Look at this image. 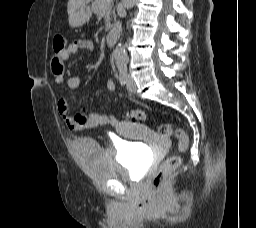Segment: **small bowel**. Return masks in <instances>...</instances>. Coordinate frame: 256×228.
<instances>
[{"label":"small bowel","mask_w":256,"mask_h":228,"mask_svg":"<svg viewBox=\"0 0 256 228\" xmlns=\"http://www.w3.org/2000/svg\"><path fill=\"white\" fill-rule=\"evenodd\" d=\"M93 43L87 39H78L67 45V47L59 52L54 53L51 58V69L53 80L55 83H63L66 79L64 62L73 54L79 51H92ZM67 86L71 91H75L80 86V78L72 76L66 80ZM115 83L108 81L106 84V91L113 92ZM57 108L60 116L63 118L68 128L72 131H80L83 129H90L99 126L117 125V120L112 116H107L102 111L95 109L90 111L88 108H83L79 113L74 114L66 98H60L57 102Z\"/></svg>","instance_id":"c3829d8e"}]
</instances>
